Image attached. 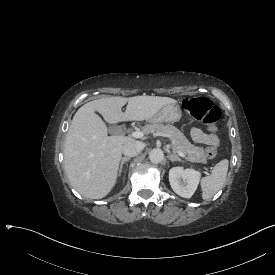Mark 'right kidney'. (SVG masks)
Returning <instances> with one entry per match:
<instances>
[{
  "label": "right kidney",
  "instance_id": "1",
  "mask_svg": "<svg viewBox=\"0 0 275 275\" xmlns=\"http://www.w3.org/2000/svg\"><path fill=\"white\" fill-rule=\"evenodd\" d=\"M120 182V179L118 178L117 180H116V183H119Z\"/></svg>",
  "mask_w": 275,
  "mask_h": 275
}]
</instances>
